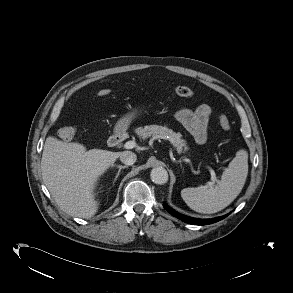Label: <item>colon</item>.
Masks as SVG:
<instances>
[{
	"label": "colon",
	"instance_id": "5ec220e1",
	"mask_svg": "<svg viewBox=\"0 0 293 293\" xmlns=\"http://www.w3.org/2000/svg\"><path fill=\"white\" fill-rule=\"evenodd\" d=\"M110 92L111 91L109 89H101L98 92V95L99 96H106V95L110 94ZM174 93L180 97H191L194 94L193 90L186 87V86L176 87L174 89ZM218 121H219L221 128L224 131H229L231 129L230 121L225 114H223V113L219 114ZM57 134H58L59 138H61L62 140L69 141L74 137L75 129L72 126H62V127L58 128Z\"/></svg>",
	"mask_w": 293,
	"mask_h": 293
}]
</instances>
